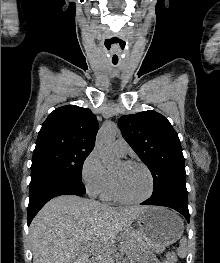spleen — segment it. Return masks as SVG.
Returning a JSON list of instances; mask_svg holds the SVG:
<instances>
[{
    "label": "spleen",
    "mask_w": 220,
    "mask_h": 263,
    "mask_svg": "<svg viewBox=\"0 0 220 263\" xmlns=\"http://www.w3.org/2000/svg\"><path fill=\"white\" fill-rule=\"evenodd\" d=\"M186 250H187V239H186V237H183L180 240V246H179V249H178V255L180 257H184L186 255Z\"/></svg>",
    "instance_id": "obj_1"
}]
</instances>
